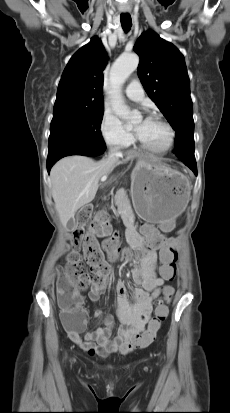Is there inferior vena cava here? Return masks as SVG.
I'll list each match as a JSON object with an SVG mask.
<instances>
[{"label":"inferior vena cava","mask_w":230,"mask_h":413,"mask_svg":"<svg viewBox=\"0 0 230 413\" xmlns=\"http://www.w3.org/2000/svg\"><path fill=\"white\" fill-rule=\"evenodd\" d=\"M120 153L117 151L115 148H111L108 154V157L110 159H117L119 157Z\"/></svg>","instance_id":"1"}]
</instances>
